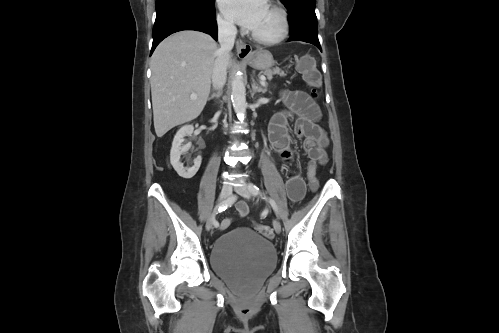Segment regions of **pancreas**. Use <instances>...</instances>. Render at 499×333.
Returning a JSON list of instances; mask_svg holds the SVG:
<instances>
[{"mask_svg":"<svg viewBox=\"0 0 499 333\" xmlns=\"http://www.w3.org/2000/svg\"><path fill=\"white\" fill-rule=\"evenodd\" d=\"M280 75V76H286V74L284 73V71H282L281 69L279 68H275V69H272V70H266L264 71V75L268 78V79H272L273 78V75Z\"/></svg>","mask_w":499,"mask_h":333,"instance_id":"cf45deb5","label":"pancreas"}]
</instances>
